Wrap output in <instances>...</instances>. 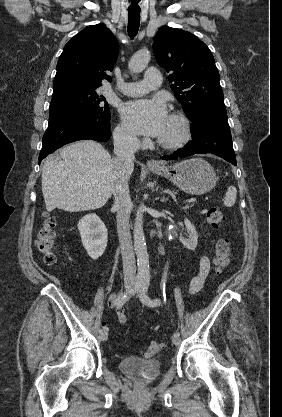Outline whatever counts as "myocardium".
Segmentation results:
<instances>
[{
  "label": "myocardium",
  "mask_w": 282,
  "mask_h": 417,
  "mask_svg": "<svg viewBox=\"0 0 282 417\" xmlns=\"http://www.w3.org/2000/svg\"><path fill=\"white\" fill-rule=\"evenodd\" d=\"M169 117L175 120L179 127L178 135L170 140L158 137L157 142L165 148H176L185 144L191 137L189 120L180 113H171Z\"/></svg>",
  "instance_id": "myocardium-1"
}]
</instances>
